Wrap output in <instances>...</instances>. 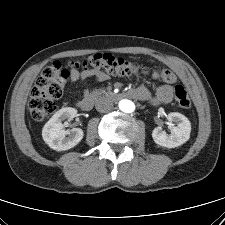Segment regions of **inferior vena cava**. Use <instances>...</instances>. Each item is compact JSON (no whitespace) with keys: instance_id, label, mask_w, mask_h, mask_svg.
I'll return each mask as SVG.
<instances>
[{"instance_id":"inferior-vena-cava-1","label":"inferior vena cava","mask_w":225,"mask_h":225,"mask_svg":"<svg viewBox=\"0 0 225 225\" xmlns=\"http://www.w3.org/2000/svg\"><path fill=\"white\" fill-rule=\"evenodd\" d=\"M96 110L101 113H106L113 108V102L109 98L101 97L96 101Z\"/></svg>"}]
</instances>
